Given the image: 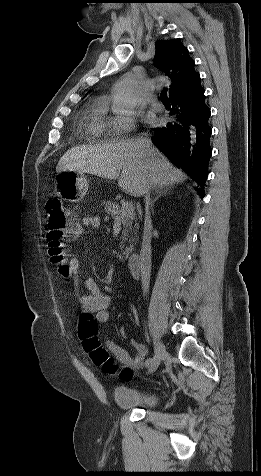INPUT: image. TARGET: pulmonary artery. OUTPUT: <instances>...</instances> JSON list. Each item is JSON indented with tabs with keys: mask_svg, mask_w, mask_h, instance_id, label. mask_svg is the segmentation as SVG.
Instances as JSON below:
<instances>
[{
	"mask_svg": "<svg viewBox=\"0 0 261 476\" xmlns=\"http://www.w3.org/2000/svg\"><path fill=\"white\" fill-rule=\"evenodd\" d=\"M150 104H151V106H152L155 110L160 111V110L163 109L162 103L159 102L156 97H152V98L150 99Z\"/></svg>",
	"mask_w": 261,
	"mask_h": 476,
	"instance_id": "1",
	"label": "pulmonary artery"
}]
</instances>
